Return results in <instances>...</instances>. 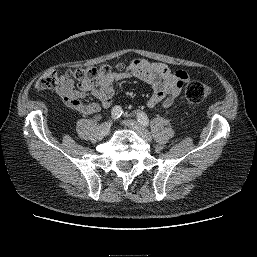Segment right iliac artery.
<instances>
[{
    "instance_id": "82829eb1",
    "label": "right iliac artery",
    "mask_w": 257,
    "mask_h": 257,
    "mask_svg": "<svg viewBox=\"0 0 257 257\" xmlns=\"http://www.w3.org/2000/svg\"><path fill=\"white\" fill-rule=\"evenodd\" d=\"M122 115V108L120 106H115L111 111V117L116 120Z\"/></svg>"
}]
</instances>
